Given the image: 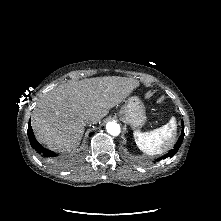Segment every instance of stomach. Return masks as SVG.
I'll return each mask as SVG.
<instances>
[{"mask_svg":"<svg viewBox=\"0 0 221 221\" xmlns=\"http://www.w3.org/2000/svg\"><path fill=\"white\" fill-rule=\"evenodd\" d=\"M118 116L121 121L129 124L132 129H136L146 121L145 107L138 97L132 96L121 107Z\"/></svg>","mask_w":221,"mask_h":221,"instance_id":"1","label":"stomach"}]
</instances>
